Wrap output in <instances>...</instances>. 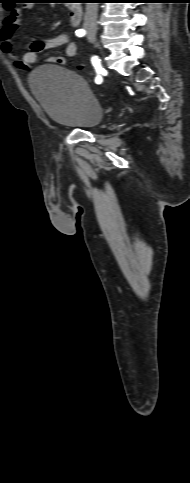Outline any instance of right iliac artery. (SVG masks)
I'll return each instance as SVG.
<instances>
[{"label":"right iliac artery","instance_id":"obj_1","mask_svg":"<svg viewBox=\"0 0 190 483\" xmlns=\"http://www.w3.org/2000/svg\"><path fill=\"white\" fill-rule=\"evenodd\" d=\"M85 33H86V32H85V30H83V29H78V30H76V35H77L78 37H82V36H84V35H85ZM91 62H92V64H93L94 68L96 69V72H97V73H102L103 68H102V67H101V65H100V59H98V57H97V56H93V57L91 58ZM95 82H96V84H100V83L102 82V78H101V76H99V75H98V76L95 78Z\"/></svg>","mask_w":190,"mask_h":483}]
</instances>
